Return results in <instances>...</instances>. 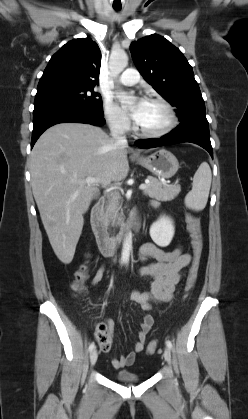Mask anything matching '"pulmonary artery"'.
Segmentation results:
<instances>
[{"label":"pulmonary artery","mask_w":248,"mask_h":419,"mask_svg":"<svg viewBox=\"0 0 248 419\" xmlns=\"http://www.w3.org/2000/svg\"><path fill=\"white\" fill-rule=\"evenodd\" d=\"M140 75L136 69H126L119 78V82L125 86H132L138 83Z\"/></svg>","instance_id":"e3ab8cb5"}]
</instances>
